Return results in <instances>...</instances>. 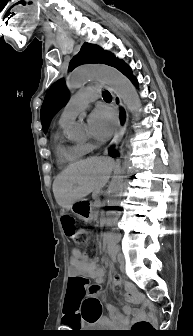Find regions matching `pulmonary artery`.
<instances>
[{
    "label": "pulmonary artery",
    "instance_id": "obj_1",
    "mask_svg": "<svg viewBox=\"0 0 193 336\" xmlns=\"http://www.w3.org/2000/svg\"><path fill=\"white\" fill-rule=\"evenodd\" d=\"M98 97L99 93L93 87L75 93L64 107L59 118V124L64 126L74 120L86 109L90 101L96 100Z\"/></svg>",
    "mask_w": 193,
    "mask_h": 336
}]
</instances>
